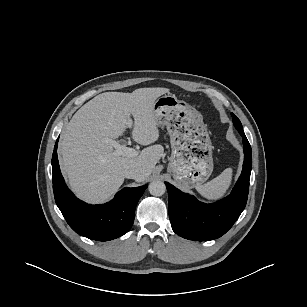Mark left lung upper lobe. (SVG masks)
Returning a JSON list of instances; mask_svg holds the SVG:
<instances>
[{
	"label": "left lung upper lobe",
	"mask_w": 307,
	"mask_h": 307,
	"mask_svg": "<svg viewBox=\"0 0 307 307\" xmlns=\"http://www.w3.org/2000/svg\"><path fill=\"white\" fill-rule=\"evenodd\" d=\"M232 116H233V123H234L236 129L239 131L240 134H242V133L244 134L240 120L233 113H232Z\"/></svg>",
	"instance_id": "obj_1"
}]
</instances>
